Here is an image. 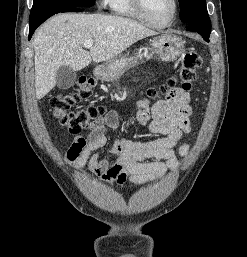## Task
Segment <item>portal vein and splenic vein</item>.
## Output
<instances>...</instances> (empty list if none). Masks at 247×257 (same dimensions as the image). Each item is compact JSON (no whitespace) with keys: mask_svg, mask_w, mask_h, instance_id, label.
Listing matches in <instances>:
<instances>
[{"mask_svg":"<svg viewBox=\"0 0 247 257\" xmlns=\"http://www.w3.org/2000/svg\"><path fill=\"white\" fill-rule=\"evenodd\" d=\"M93 44H94V41L91 40V39H89V40H86V41L84 42V47H85V48H91V47L93 46Z\"/></svg>","mask_w":247,"mask_h":257,"instance_id":"obj_1","label":"portal vein and splenic vein"}]
</instances>
